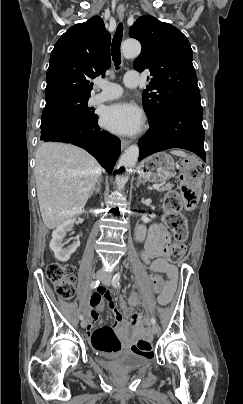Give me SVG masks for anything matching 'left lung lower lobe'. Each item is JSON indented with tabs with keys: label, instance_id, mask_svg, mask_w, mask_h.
<instances>
[{
	"label": "left lung lower lobe",
	"instance_id": "left-lung-lower-lobe-1",
	"mask_svg": "<svg viewBox=\"0 0 243 404\" xmlns=\"http://www.w3.org/2000/svg\"><path fill=\"white\" fill-rule=\"evenodd\" d=\"M201 106L178 105L168 109L155 123H150L146 136L139 140L143 158L170 148L194 152L206 161Z\"/></svg>",
	"mask_w": 243,
	"mask_h": 404
}]
</instances>
